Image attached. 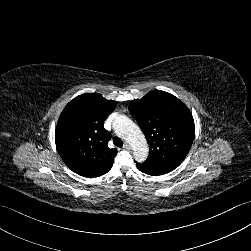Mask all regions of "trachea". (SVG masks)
Masks as SVG:
<instances>
[{
	"label": "trachea",
	"instance_id": "obj_1",
	"mask_svg": "<svg viewBox=\"0 0 251 251\" xmlns=\"http://www.w3.org/2000/svg\"><path fill=\"white\" fill-rule=\"evenodd\" d=\"M113 143L117 147H122L123 146V141L119 137H114Z\"/></svg>",
	"mask_w": 251,
	"mask_h": 251
}]
</instances>
